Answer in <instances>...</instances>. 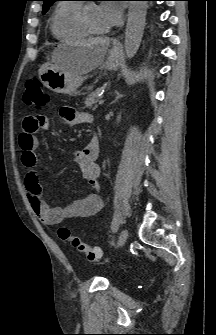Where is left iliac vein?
<instances>
[{
	"mask_svg": "<svg viewBox=\"0 0 216 335\" xmlns=\"http://www.w3.org/2000/svg\"><path fill=\"white\" fill-rule=\"evenodd\" d=\"M127 239H128V230L124 229L121 231L119 235L117 247H122L126 243Z\"/></svg>",
	"mask_w": 216,
	"mask_h": 335,
	"instance_id": "1",
	"label": "left iliac vein"
}]
</instances>
